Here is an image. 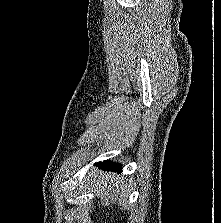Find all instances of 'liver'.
I'll return each mask as SVG.
<instances>
[{
    "instance_id": "obj_1",
    "label": "liver",
    "mask_w": 221,
    "mask_h": 223,
    "mask_svg": "<svg viewBox=\"0 0 221 223\" xmlns=\"http://www.w3.org/2000/svg\"><path fill=\"white\" fill-rule=\"evenodd\" d=\"M87 180L97 192L102 206H112L127 196V179L124 177L102 173L95 168L88 173Z\"/></svg>"
}]
</instances>
